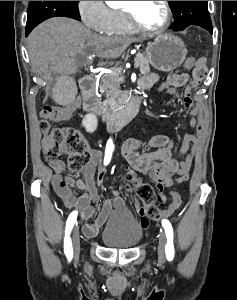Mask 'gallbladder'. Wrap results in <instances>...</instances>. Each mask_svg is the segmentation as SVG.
<instances>
[{
	"label": "gallbladder",
	"mask_w": 237,
	"mask_h": 300,
	"mask_svg": "<svg viewBox=\"0 0 237 300\" xmlns=\"http://www.w3.org/2000/svg\"><path fill=\"white\" fill-rule=\"evenodd\" d=\"M74 80V76L57 77L56 87L51 88V97L55 105H71L76 94Z\"/></svg>",
	"instance_id": "bac80fb5"
}]
</instances>
